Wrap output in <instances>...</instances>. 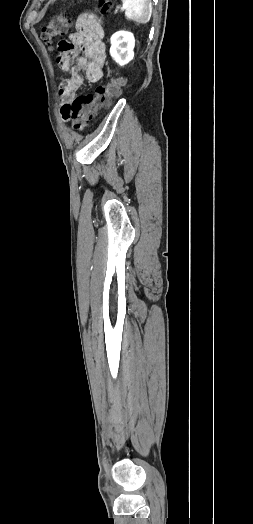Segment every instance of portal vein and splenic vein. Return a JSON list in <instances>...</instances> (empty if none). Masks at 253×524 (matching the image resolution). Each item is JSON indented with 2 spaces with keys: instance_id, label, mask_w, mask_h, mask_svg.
Wrapping results in <instances>:
<instances>
[{
  "instance_id": "portal-vein-and-splenic-vein-1",
  "label": "portal vein and splenic vein",
  "mask_w": 253,
  "mask_h": 524,
  "mask_svg": "<svg viewBox=\"0 0 253 524\" xmlns=\"http://www.w3.org/2000/svg\"><path fill=\"white\" fill-rule=\"evenodd\" d=\"M125 8H126V6H125V5H123L121 9H122V10H124Z\"/></svg>"
}]
</instances>
